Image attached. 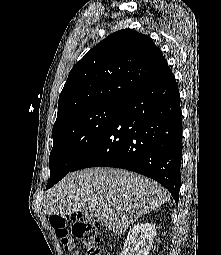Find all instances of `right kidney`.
Here are the masks:
<instances>
[{"instance_id": "1", "label": "right kidney", "mask_w": 221, "mask_h": 255, "mask_svg": "<svg viewBox=\"0 0 221 255\" xmlns=\"http://www.w3.org/2000/svg\"><path fill=\"white\" fill-rule=\"evenodd\" d=\"M156 227L152 223H138L127 234L120 255H149Z\"/></svg>"}]
</instances>
